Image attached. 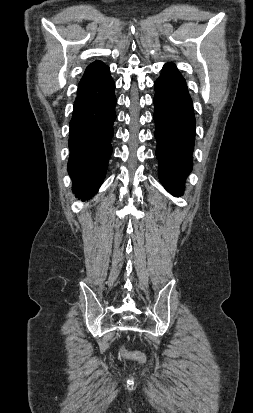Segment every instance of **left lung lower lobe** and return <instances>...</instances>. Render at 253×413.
Here are the masks:
<instances>
[{
    "instance_id": "left-lung-lower-lobe-1",
    "label": "left lung lower lobe",
    "mask_w": 253,
    "mask_h": 413,
    "mask_svg": "<svg viewBox=\"0 0 253 413\" xmlns=\"http://www.w3.org/2000/svg\"><path fill=\"white\" fill-rule=\"evenodd\" d=\"M154 85L159 179L172 195L179 196L193 165L195 116L192 99L185 79L174 64L164 66Z\"/></svg>"
}]
</instances>
